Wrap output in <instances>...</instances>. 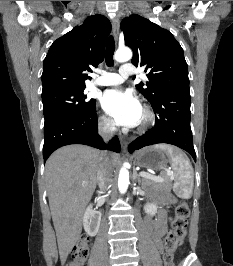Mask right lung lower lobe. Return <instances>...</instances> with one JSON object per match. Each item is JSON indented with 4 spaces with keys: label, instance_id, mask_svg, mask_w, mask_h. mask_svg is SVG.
Instances as JSON below:
<instances>
[{
    "label": "right lung lower lobe",
    "instance_id": "right-lung-lower-lobe-1",
    "mask_svg": "<svg viewBox=\"0 0 233 266\" xmlns=\"http://www.w3.org/2000/svg\"><path fill=\"white\" fill-rule=\"evenodd\" d=\"M69 144H85L117 153L121 149L117 137L106 145L98 135L96 106L86 113L61 117L44 125V161L56 149Z\"/></svg>",
    "mask_w": 233,
    "mask_h": 266
}]
</instances>
